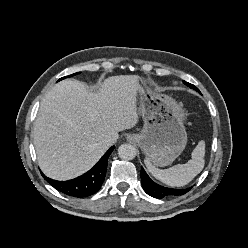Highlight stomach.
Masks as SVG:
<instances>
[{
    "label": "stomach",
    "mask_w": 248,
    "mask_h": 248,
    "mask_svg": "<svg viewBox=\"0 0 248 248\" xmlns=\"http://www.w3.org/2000/svg\"><path fill=\"white\" fill-rule=\"evenodd\" d=\"M138 83L139 111L144 126L141 133L130 139L137 143L152 165L168 166L187 143L182 107L172 97L153 90L145 77H139Z\"/></svg>",
    "instance_id": "stomach-1"
}]
</instances>
